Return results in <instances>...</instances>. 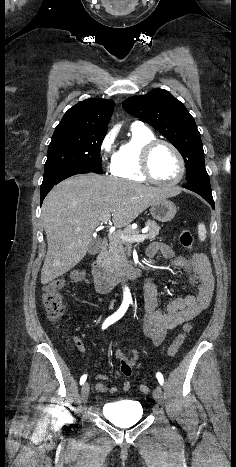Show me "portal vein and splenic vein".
Instances as JSON below:
<instances>
[{
  "mask_svg": "<svg viewBox=\"0 0 236 467\" xmlns=\"http://www.w3.org/2000/svg\"><path fill=\"white\" fill-rule=\"evenodd\" d=\"M110 220V216H105L103 217V220L102 222L106 223L107 221ZM143 234H135V235H132V236H129V235H126V234H120L119 235V238L125 242H130V243H133V242H141V241H144L146 239V235L144 234L145 232L142 231Z\"/></svg>",
  "mask_w": 236,
  "mask_h": 467,
  "instance_id": "1",
  "label": "portal vein and splenic vein"
}]
</instances>
